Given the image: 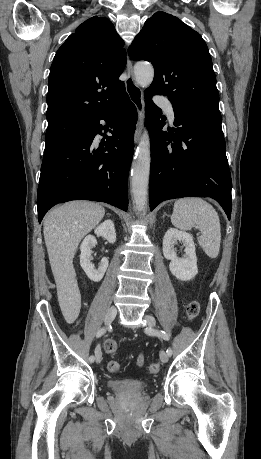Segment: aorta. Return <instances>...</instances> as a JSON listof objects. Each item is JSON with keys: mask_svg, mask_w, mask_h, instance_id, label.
Instances as JSON below:
<instances>
[{"mask_svg": "<svg viewBox=\"0 0 261 459\" xmlns=\"http://www.w3.org/2000/svg\"><path fill=\"white\" fill-rule=\"evenodd\" d=\"M134 75L137 84L147 88L153 81L154 68L151 64L139 62L134 66ZM150 162V138L148 131L144 130L131 168V194L138 212H145L147 207Z\"/></svg>", "mask_w": 261, "mask_h": 459, "instance_id": "obj_1", "label": "aorta"}]
</instances>
